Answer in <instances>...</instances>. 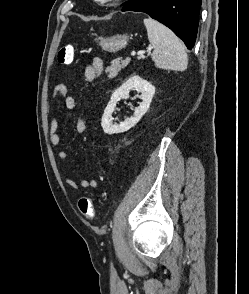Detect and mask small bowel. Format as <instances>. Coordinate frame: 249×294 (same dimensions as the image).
<instances>
[{
    "mask_svg": "<svg viewBox=\"0 0 249 294\" xmlns=\"http://www.w3.org/2000/svg\"><path fill=\"white\" fill-rule=\"evenodd\" d=\"M104 70V63L101 58L95 57L92 59L91 63L86 65L84 69V77L86 81L92 82L98 78ZM64 99L65 107L68 110H73L76 107V99L73 95L68 94V88L65 84H58L52 91L50 104L51 106H57L59 102ZM75 129L78 133L83 134L87 131V123L84 119H77L75 123ZM49 139L52 146H59L61 142L59 133V120L56 115H54L50 122L49 129ZM57 157L60 161H67L68 155L65 151L60 150L57 153ZM64 182L73 190L84 189H95L98 187V181L96 179L82 178L79 182L74 180L69 176L63 177Z\"/></svg>",
    "mask_w": 249,
    "mask_h": 294,
    "instance_id": "small-bowel-1",
    "label": "small bowel"
}]
</instances>
